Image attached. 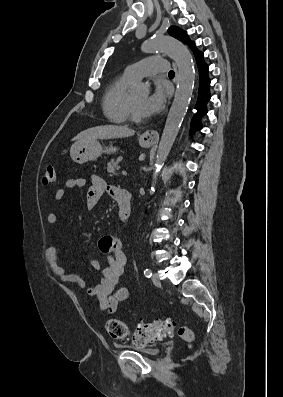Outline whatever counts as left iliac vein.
<instances>
[{"label": "left iliac vein", "instance_id": "4c4485c4", "mask_svg": "<svg viewBox=\"0 0 283 397\" xmlns=\"http://www.w3.org/2000/svg\"><path fill=\"white\" fill-rule=\"evenodd\" d=\"M151 280H152L154 285H156V286H160L161 285L160 279H159V277H158V275L156 273H153V275L151 277Z\"/></svg>", "mask_w": 283, "mask_h": 397}]
</instances>
